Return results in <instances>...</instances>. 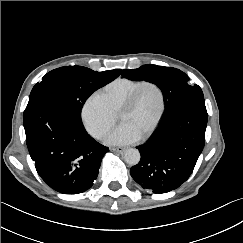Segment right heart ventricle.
Listing matches in <instances>:
<instances>
[{"instance_id": "obj_1", "label": "right heart ventricle", "mask_w": 243, "mask_h": 243, "mask_svg": "<svg viewBox=\"0 0 243 243\" xmlns=\"http://www.w3.org/2000/svg\"><path fill=\"white\" fill-rule=\"evenodd\" d=\"M142 81L130 78H118L104 86L98 93L106 101L111 111L117 113L131 92Z\"/></svg>"}]
</instances>
